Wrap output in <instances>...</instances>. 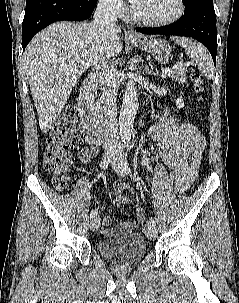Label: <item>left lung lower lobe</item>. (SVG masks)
Instances as JSON below:
<instances>
[{"mask_svg":"<svg viewBox=\"0 0 239 303\" xmlns=\"http://www.w3.org/2000/svg\"><path fill=\"white\" fill-rule=\"evenodd\" d=\"M143 34L179 35L194 38L203 43L216 62L217 32L216 16L213 4L201 3L199 6L184 12L183 17L167 27L136 28Z\"/></svg>","mask_w":239,"mask_h":303,"instance_id":"0a47b994","label":"left lung lower lobe"}]
</instances>
